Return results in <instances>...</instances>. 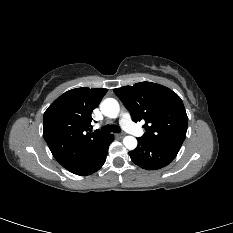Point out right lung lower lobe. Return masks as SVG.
I'll return each mask as SVG.
<instances>
[{"label":"right lung lower lobe","mask_w":233,"mask_h":233,"mask_svg":"<svg viewBox=\"0 0 233 233\" xmlns=\"http://www.w3.org/2000/svg\"><path fill=\"white\" fill-rule=\"evenodd\" d=\"M114 140L113 135L108 134L104 140L81 162L78 166L71 171L77 175H90L99 170L106 161L108 148L110 143Z\"/></svg>","instance_id":"98d812e1"}]
</instances>
